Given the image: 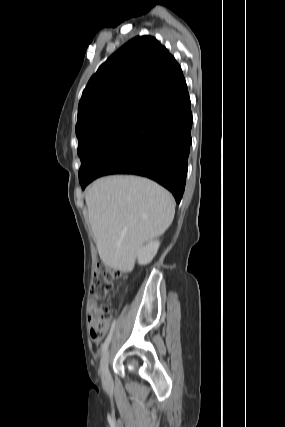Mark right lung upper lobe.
Masks as SVG:
<instances>
[{"instance_id": "obj_1", "label": "right lung upper lobe", "mask_w": 285, "mask_h": 427, "mask_svg": "<svg viewBox=\"0 0 285 427\" xmlns=\"http://www.w3.org/2000/svg\"><path fill=\"white\" fill-rule=\"evenodd\" d=\"M182 77L181 67L157 39L135 37L90 78L79 102L76 130L126 106H145Z\"/></svg>"}]
</instances>
